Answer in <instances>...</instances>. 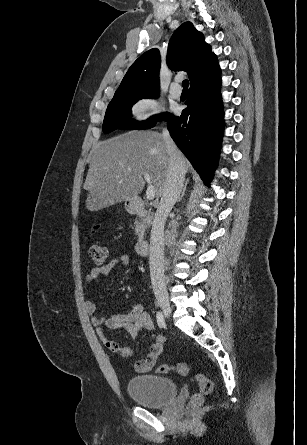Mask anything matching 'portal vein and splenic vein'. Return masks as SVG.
<instances>
[{
	"mask_svg": "<svg viewBox=\"0 0 307 445\" xmlns=\"http://www.w3.org/2000/svg\"><path fill=\"white\" fill-rule=\"evenodd\" d=\"M146 182H148V186H147V190H146V198H148V200H153L154 196H155V188L152 184V180L150 178V174H143Z\"/></svg>",
	"mask_w": 307,
	"mask_h": 445,
	"instance_id": "portal-vein-and-splenic-vein-1",
	"label": "portal vein and splenic vein"
}]
</instances>
